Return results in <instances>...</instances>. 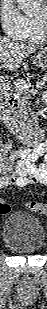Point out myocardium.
<instances>
[{"label":"myocardium","instance_id":"obj_1","mask_svg":"<svg viewBox=\"0 0 47 309\" xmlns=\"http://www.w3.org/2000/svg\"><path fill=\"white\" fill-rule=\"evenodd\" d=\"M37 24L39 25L43 36L46 37V32H47V14L44 13L43 17H38L36 18Z\"/></svg>","mask_w":47,"mask_h":309}]
</instances>
